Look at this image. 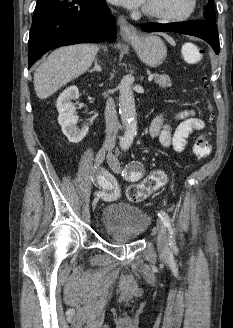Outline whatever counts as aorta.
<instances>
[{
	"mask_svg": "<svg viewBox=\"0 0 233 328\" xmlns=\"http://www.w3.org/2000/svg\"><path fill=\"white\" fill-rule=\"evenodd\" d=\"M131 85L132 81L127 76L121 80L119 85V111L125 127V133L120 144L125 149L131 146L137 133L135 99Z\"/></svg>",
	"mask_w": 233,
	"mask_h": 328,
	"instance_id": "762f6f07",
	"label": "aorta"
}]
</instances>
